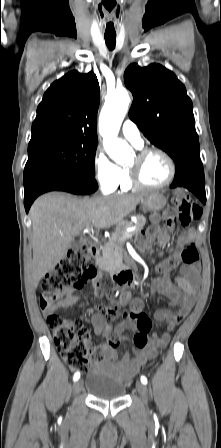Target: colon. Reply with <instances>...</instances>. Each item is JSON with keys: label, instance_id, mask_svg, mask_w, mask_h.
Listing matches in <instances>:
<instances>
[{"label": "colon", "instance_id": "5ec220e1", "mask_svg": "<svg viewBox=\"0 0 221 448\" xmlns=\"http://www.w3.org/2000/svg\"><path fill=\"white\" fill-rule=\"evenodd\" d=\"M174 205L179 212L181 225L186 226L197 219L199 207L189 195L179 193L174 198ZM174 221L170 222L173 225ZM181 261L185 264H196L199 253L194 244L187 245L181 252ZM97 270L90 265V251L87 246H81L70 251L60 263L48 271L40 286L39 298L42 309L46 312L48 324L53 332L55 345L63 360L72 369L81 373L88 370V346L91 343L87 328L80 320L60 317L56 313L54 303L64 299L72 291L92 283L98 279ZM130 318L137 323V332L133 342L136 348H144L148 344V334L152 324L149 317L143 313H130ZM180 322L177 316L176 324ZM127 379L125 385L129 386Z\"/></svg>", "mask_w": 221, "mask_h": 448}]
</instances>
